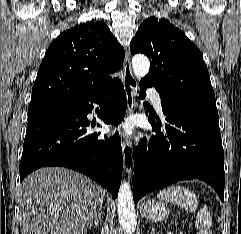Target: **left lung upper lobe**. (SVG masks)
Here are the masks:
<instances>
[{"label":"left lung upper lobe","instance_id":"obj_1","mask_svg":"<svg viewBox=\"0 0 241 234\" xmlns=\"http://www.w3.org/2000/svg\"><path fill=\"white\" fill-rule=\"evenodd\" d=\"M132 54L151 60L141 82L153 85L162 98L217 113L208 69L195 44L166 19L150 17L130 44Z\"/></svg>","mask_w":241,"mask_h":234}]
</instances>
